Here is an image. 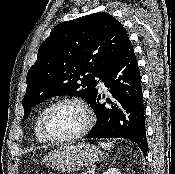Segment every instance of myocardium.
<instances>
[{"mask_svg":"<svg viewBox=\"0 0 175 174\" xmlns=\"http://www.w3.org/2000/svg\"><path fill=\"white\" fill-rule=\"evenodd\" d=\"M61 104H72L77 106L82 111L85 122L82 129L77 133L68 137L59 138V137H54L49 133L46 125V120L51 110ZM92 125H93V117L89 106L84 100L77 97H65L54 101L53 103H51L46 107V109L42 112V115L40 118V128L43 135L48 141L53 143H68V142L78 140L79 138L85 136L90 131Z\"/></svg>","mask_w":175,"mask_h":174,"instance_id":"1","label":"myocardium"}]
</instances>
